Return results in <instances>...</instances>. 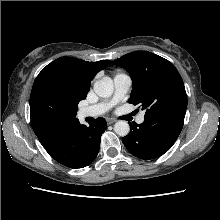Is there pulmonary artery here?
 Listing matches in <instances>:
<instances>
[{
    "mask_svg": "<svg viewBox=\"0 0 220 220\" xmlns=\"http://www.w3.org/2000/svg\"><path fill=\"white\" fill-rule=\"evenodd\" d=\"M113 84L114 93L110 101L82 108L79 111V117H97L106 113L113 105H115L124 98V96L130 88L131 79L127 74L119 73L114 76ZM136 121L139 124L143 123L144 114L138 115Z\"/></svg>",
    "mask_w": 220,
    "mask_h": 220,
    "instance_id": "e3ab8cb5",
    "label": "pulmonary artery"
}]
</instances>
